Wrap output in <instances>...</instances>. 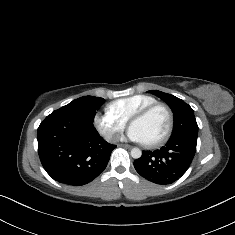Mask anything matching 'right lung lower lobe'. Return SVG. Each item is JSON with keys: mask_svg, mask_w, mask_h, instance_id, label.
<instances>
[{"mask_svg": "<svg viewBox=\"0 0 235 235\" xmlns=\"http://www.w3.org/2000/svg\"><path fill=\"white\" fill-rule=\"evenodd\" d=\"M116 145L106 142L93 122L52 112L38 128L42 166L56 181L73 186L91 182L106 168Z\"/></svg>", "mask_w": 235, "mask_h": 235, "instance_id": "obj_1", "label": "right lung lower lobe"}]
</instances>
